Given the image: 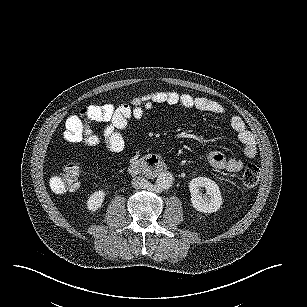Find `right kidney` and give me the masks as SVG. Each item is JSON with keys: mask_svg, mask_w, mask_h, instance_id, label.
<instances>
[{"mask_svg": "<svg viewBox=\"0 0 307 307\" xmlns=\"http://www.w3.org/2000/svg\"><path fill=\"white\" fill-rule=\"evenodd\" d=\"M105 196L106 194L103 190L95 191L92 193L86 203L87 209L90 211H97L100 209Z\"/></svg>", "mask_w": 307, "mask_h": 307, "instance_id": "ca27d5eb", "label": "right kidney"}]
</instances>
